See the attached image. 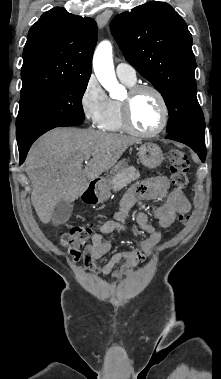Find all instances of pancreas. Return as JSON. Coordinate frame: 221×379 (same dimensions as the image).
I'll list each match as a JSON object with an SVG mask.
<instances>
[{"mask_svg": "<svg viewBox=\"0 0 221 379\" xmlns=\"http://www.w3.org/2000/svg\"><path fill=\"white\" fill-rule=\"evenodd\" d=\"M140 177L139 172L133 166H129L123 169L120 173L114 175L110 181L113 190H120L127 186L132 181L137 180Z\"/></svg>", "mask_w": 221, "mask_h": 379, "instance_id": "cf45deb5", "label": "pancreas"}]
</instances>
